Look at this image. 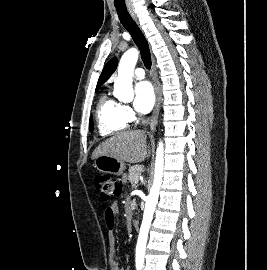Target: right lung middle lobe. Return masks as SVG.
<instances>
[{"label":"right lung middle lobe","instance_id":"right-lung-middle-lobe-1","mask_svg":"<svg viewBox=\"0 0 267 270\" xmlns=\"http://www.w3.org/2000/svg\"><path fill=\"white\" fill-rule=\"evenodd\" d=\"M97 90H98V89H96V91H97ZM89 129H90V130H93V120H92V118H90Z\"/></svg>","mask_w":267,"mask_h":270}]
</instances>
